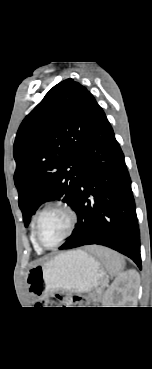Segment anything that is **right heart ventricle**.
<instances>
[{
  "instance_id": "obj_1",
  "label": "right heart ventricle",
  "mask_w": 152,
  "mask_h": 369,
  "mask_svg": "<svg viewBox=\"0 0 152 369\" xmlns=\"http://www.w3.org/2000/svg\"><path fill=\"white\" fill-rule=\"evenodd\" d=\"M31 239H32V242H33V245H34L35 249H36L37 251H41V249L37 246V244H36V243H35V241H34L33 233H32V237H31Z\"/></svg>"
}]
</instances>
